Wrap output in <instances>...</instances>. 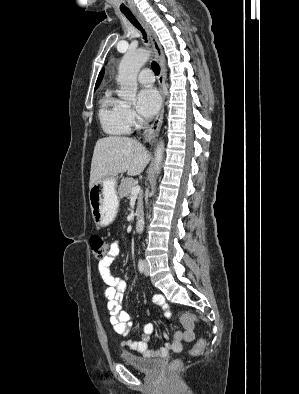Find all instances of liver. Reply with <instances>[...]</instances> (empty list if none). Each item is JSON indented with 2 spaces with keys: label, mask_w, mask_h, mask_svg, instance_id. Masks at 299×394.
<instances>
[{
  "label": "liver",
  "mask_w": 299,
  "mask_h": 394,
  "mask_svg": "<svg viewBox=\"0 0 299 394\" xmlns=\"http://www.w3.org/2000/svg\"><path fill=\"white\" fill-rule=\"evenodd\" d=\"M150 158V153L136 139L125 136L100 138L94 147L89 187L125 172L129 176L139 175Z\"/></svg>",
  "instance_id": "obj_1"
}]
</instances>
